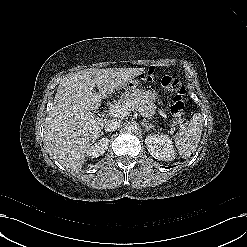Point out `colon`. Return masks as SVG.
<instances>
[{
	"label": "colon",
	"mask_w": 247,
	"mask_h": 247,
	"mask_svg": "<svg viewBox=\"0 0 247 247\" xmlns=\"http://www.w3.org/2000/svg\"><path fill=\"white\" fill-rule=\"evenodd\" d=\"M161 85L166 91L174 95L170 105V112L176 117L184 116L186 111V88L183 83L176 76L166 75L161 78Z\"/></svg>",
	"instance_id": "5ec220e1"
}]
</instances>
